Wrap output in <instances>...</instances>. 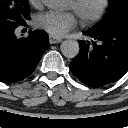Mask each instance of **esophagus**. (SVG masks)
<instances>
[{"instance_id":"esophagus-1","label":"esophagus","mask_w":128,"mask_h":128,"mask_svg":"<svg viewBox=\"0 0 128 128\" xmlns=\"http://www.w3.org/2000/svg\"><path fill=\"white\" fill-rule=\"evenodd\" d=\"M62 40L60 38H56L54 36H49V43L50 44H56V43H60Z\"/></svg>"}]
</instances>
